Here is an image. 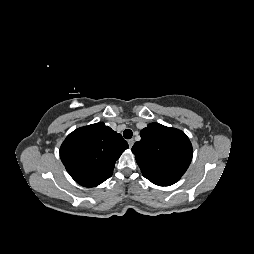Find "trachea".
I'll list each match as a JSON object with an SVG mask.
<instances>
[{"instance_id":"3493384b","label":"trachea","mask_w":254,"mask_h":254,"mask_svg":"<svg viewBox=\"0 0 254 254\" xmlns=\"http://www.w3.org/2000/svg\"><path fill=\"white\" fill-rule=\"evenodd\" d=\"M133 135V132L132 130L130 129H126L124 132H123V136L125 139H130Z\"/></svg>"}]
</instances>
